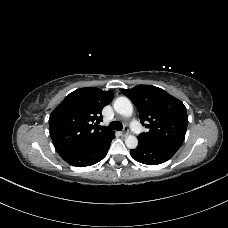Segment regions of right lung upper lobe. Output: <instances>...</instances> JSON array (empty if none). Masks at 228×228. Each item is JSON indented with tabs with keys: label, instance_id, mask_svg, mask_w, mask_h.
I'll list each match as a JSON object with an SVG mask.
<instances>
[{
	"label": "right lung upper lobe",
	"instance_id": "cb5924a9",
	"mask_svg": "<svg viewBox=\"0 0 228 228\" xmlns=\"http://www.w3.org/2000/svg\"><path fill=\"white\" fill-rule=\"evenodd\" d=\"M112 99V90L92 87L70 93L49 118V132L56 151L85 147L111 134L112 131H99L95 126L102 121L101 111Z\"/></svg>",
	"mask_w": 228,
	"mask_h": 228
}]
</instances>
